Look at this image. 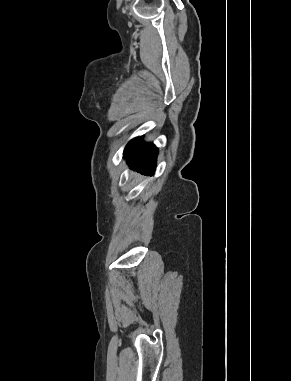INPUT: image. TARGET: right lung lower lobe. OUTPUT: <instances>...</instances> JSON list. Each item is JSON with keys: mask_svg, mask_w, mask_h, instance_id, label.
Here are the masks:
<instances>
[{"mask_svg": "<svg viewBox=\"0 0 291 381\" xmlns=\"http://www.w3.org/2000/svg\"><path fill=\"white\" fill-rule=\"evenodd\" d=\"M156 157L157 148L152 143H144L142 137L130 141L124 151L131 168L144 174H153Z\"/></svg>", "mask_w": 291, "mask_h": 381, "instance_id": "obj_1", "label": "right lung lower lobe"}]
</instances>
